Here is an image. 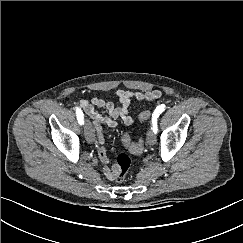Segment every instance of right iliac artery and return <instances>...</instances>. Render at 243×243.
<instances>
[{
	"instance_id": "right-iliac-artery-1",
	"label": "right iliac artery",
	"mask_w": 243,
	"mask_h": 243,
	"mask_svg": "<svg viewBox=\"0 0 243 243\" xmlns=\"http://www.w3.org/2000/svg\"><path fill=\"white\" fill-rule=\"evenodd\" d=\"M76 115H77V119H78V122H79V124H83V119H84V117H83V112H82V110L79 108V107H76Z\"/></svg>"
}]
</instances>
